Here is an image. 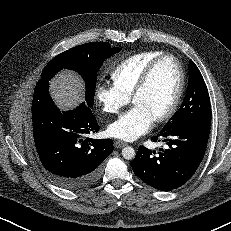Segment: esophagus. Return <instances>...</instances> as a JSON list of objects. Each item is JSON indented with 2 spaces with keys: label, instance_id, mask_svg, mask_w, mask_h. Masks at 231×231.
Segmentation results:
<instances>
[{
  "label": "esophagus",
  "instance_id": "obj_1",
  "mask_svg": "<svg viewBox=\"0 0 231 231\" xmlns=\"http://www.w3.org/2000/svg\"><path fill=\"white\" fill-rule=\"evenodd\" d=\"M126 145H127L126 142H123V141H120V140H117V141H115V143H114L115 148H123V147H125Z\"/></svg>",
  "mask_w": 231,
  "mask_h": 231
}]
</instances>
